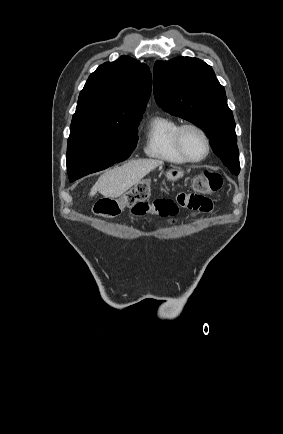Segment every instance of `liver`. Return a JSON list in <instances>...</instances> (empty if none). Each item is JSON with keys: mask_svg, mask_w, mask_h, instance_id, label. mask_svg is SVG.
<instances>
[{"mask_svg": "<svg viewBox=\"0 0 283 434\" xmlns=\"http://www.w3.org/2000/svg\"><path fill=\"white\" fill-rule=\"evenodd\" d=\"M161 164L159 160L139 159L109 170L99 177L89 195L94 196L99 192L108 198H118Z\"/></svg>", "mask_w": 283, "mask_h": 434, "instance_id": "obj_1", "label": "liver"}]
</instances>
